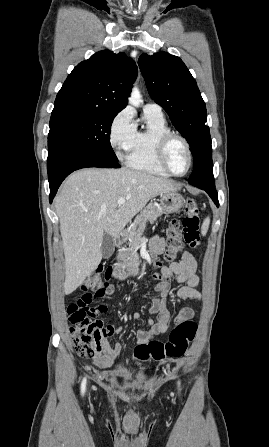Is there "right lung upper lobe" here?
Instances as JSON below:
<instances>
[{"mask_svg": "<svg viewBox=\"0 0 269 447\" xmlns=\"http://www.w3.org/2000/svg\"><path fill=\"white\" fill-rule=\"evenodd\" d=\"M137 76L135 62L124 53L100 51L78 64L57 94L52 114L118 113L126 107Z\"/></svg>", "mask_w": 269, "mask_h": 447, "instance_id": "1", "label": "right lung upper lobe"}]
</instances>
